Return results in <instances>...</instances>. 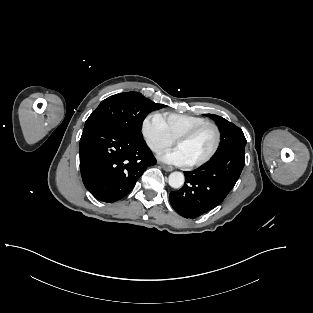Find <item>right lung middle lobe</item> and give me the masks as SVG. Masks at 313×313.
Here are the masks:
<instances>
[{"mask_svg":"<svg viewBox=\"0 0 313 313\" xmlns=\"http://www.w3.org/2000/svg\"><path fill=\"white\" fill-rule=\"evenodd\" d=\"M164 107L138 92L119 93L100 103L86 120L84 130L98 124H110L142 139L141 129L145 117L151 111Z\"/></svg>","mask_w":313,"mask_h":313,"instance_id":"obj_1","label":"right lung middle lobe"}]
</instances>
